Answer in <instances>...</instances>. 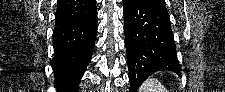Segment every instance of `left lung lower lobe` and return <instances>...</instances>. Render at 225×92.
I'll return each mask as SVG.
<instances>
[{
  "mask_svg": "<svg viewBox=\"0 0 225 92\" xmlns=\"http://www.w3.org/2000/svg\"><path fill=\"white\" fill-rule=\"evenodd\" d=\"M123 13L130 92L156 72L180 75L167 10L141 0H123Z\"/></svg>",
  "mask_w": 225,
  "mask_h": 92,
  "instance_id": "obj_1",
  "label": "left lung lower lobe"
}]
</instances>
